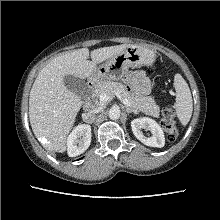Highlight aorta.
Returning <instances> with one entry per match:
<instances>
[{
    "instance_id": "obj_1",
    "label": "aorta",
    "mask_w": 220,
    "mask_h": 220,
    "mask_svg": "<svg viewBox=\"0 0 220 220\" xmlns=\"http://www.w3.org/2000/svg\"><path fill=\"white\" fill-rule=\"evenodd\" d=\"M120 114H121V111L119 107L113 106L112 108H110L108 115L111 120H117L119 119Z\"/></svg>"
}]
</instances>
